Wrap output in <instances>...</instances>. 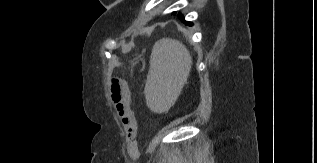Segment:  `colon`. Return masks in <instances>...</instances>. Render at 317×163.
Wrapping results in <instances>:
<instances>
[{
    "mask_svg": "<svg viewBox=\"0 0 317 163\" xmlns=\"http://www.w3.org/2000/svg\"><path fill=\"white\" fill-rule=\"evenodd\" d=\"M112 99L116 103L124 104L129 100L128 86L119 80H113L111 85Z\"/></svg>",
    "mask_w": 317,
    "mask_h": 163,
    "instance_id": "1",
    "label": "colon"
}]
</instances>
